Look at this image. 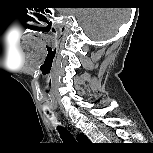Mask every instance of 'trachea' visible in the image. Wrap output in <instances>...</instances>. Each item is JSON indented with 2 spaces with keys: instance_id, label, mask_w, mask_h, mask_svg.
<instances>
[{
  "instance_id": "trachea-1",
  "label": "trachea",
  "mask_w": 153,
  "mask_h": 153,
  "mask_svg": "<svg viewBox=\"0 0 153 153\" xmlns=\"http://www.w3.org/2000/svg\"><path fill=\"white\" fill-rule=\"evenodd\" d=\"M58 129H59V132H60V136L65 143H70V144L76 143L74 137L71 135L70 132H68L67 129L62 128V127H58Z\"/></svg>"
}]
</instances>
